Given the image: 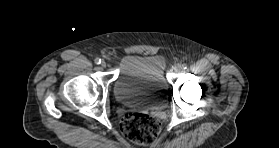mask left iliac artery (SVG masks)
Here are the masks:
<instances>
[{
	"label": "left iliac artery",
	"instance_id": "1",
	"mask_svg": "<svg viewBox=\"0 0 279 148\" xmlns=\"http://www.w3.org/2000/svg\"><path fill=\"white\" fill-rule=\"evenodd\" d=\"M182 68H183V69H187V64H183V65H182Z\"/></svg>",
	"mask_w": 279,
	"mask_h": 148
}]
</instances>
